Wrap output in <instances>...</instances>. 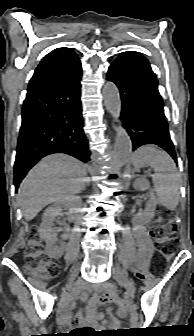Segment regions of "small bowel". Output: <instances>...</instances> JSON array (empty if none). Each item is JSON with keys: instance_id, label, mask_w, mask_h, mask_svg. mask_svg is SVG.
I'll return each mask as SVG.
<instances>
[{"instance_id": "obj_1", "label": "small bowel", "mask_w": 194, "mask_h": 336, "mask_svg": "<svg viewBox=\"0 0 194 336\" xmlns=\"http://www.w3.org/2000/svg\"><path fill=\"white\" fill-rule=\"evenodd\" d=\"M137 246H138V253L136 256V265L138 270L145 272L149 267V259L153 249L151 240L147 234V231L144 227L138 226L134 230ZM79 296L81 299L86 300L89 297L87 292H75L67 301V309L61 315V322L64 325H69L72 322L71 316L69 314L68 309L73 307V299L74 297ZM117 300L116 290L114 285L110 283H106L103 285L101 293L95 294L93 299L90 302V307L86 310L85 314H78L75 318V321L78 324L83 325L86 320L93 321L92 313H93V305L95 303H108L114 302ZM107 314L110 316L111 320H116L112 315V309H106Z\"/></svg>"}]
</instances>
